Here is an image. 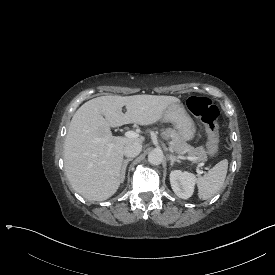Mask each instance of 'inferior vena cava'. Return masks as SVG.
Segmentation results:
<instances>
[{
    "instance_id": "inferior-vena-cava-1",
    "label": "inferior vena cava",
    "mask_w": 275,
    "mask_h": 275,
    "mask_svg": "<svg viewBox=\"0 0 275 275\" xmlns=\"http://www.w3.org/2000/svg\"><path fill=\"white\" fill-rule=\"evenodd\" d=\"M142 150V145L137 142L128 143L124 146L123 154L126 157H136Z\"/></svg>"
}]
</instances>
